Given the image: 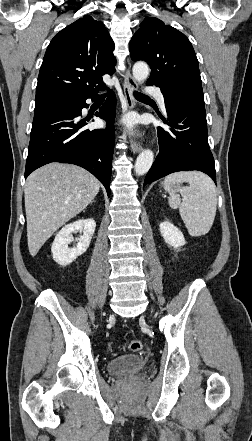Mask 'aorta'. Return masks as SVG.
<instances>
[{"mask_svg":"<svg viewBox=\"0 0 252 441\" xmlns=\"http://www.w3.org/2000/svg\"><path fill=\"white\" fill-rule=\"evenodd\" d=\"M133 77L137 82H143L149 75L148 65L144 62L134 64ZM154 160V154L150 149L143 150L137 157L135 162V172L137 175L146 174L151 168Z\"/></svg>","mask_w":252,"mask_h":441,"instance_id":"1","label":"aorta"}]
</instances>
